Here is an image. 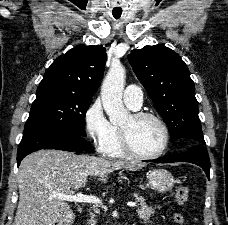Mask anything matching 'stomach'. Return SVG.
Here are the masks:
<instances>
[{"label":"stomach","instance_id":"1","mask_svg":"<svg viewBox=\"0 0 228 225\" xmlns=\"http://www.w3.org/2000/svg\"><path fill=\"white\" fill-rule=\"evenodd\" d=\"M175 179L169 171L164 169H153L148 175V185L150 189L159 191V193H167L173 189Z\"/></svg>","mask_w":228,"mask_h":225}]
</instances>
